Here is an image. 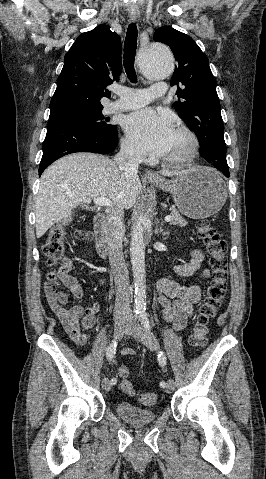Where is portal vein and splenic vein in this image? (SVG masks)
Instances as JSON below:
<instances>
[{
	"instance_id": "portal-vein-and-splenic-vein-1",
	"label": "portal vein and splenic vein",
	"mask_w": 266,
	"mask_h": 479,
	"mask_svg": "<svg viewBox=\"0 0 266 479\" xmlns=\"http://www.w3.org/2000/svg\"><path fill=\"white\" fill-rule=\"evenodd\" d=\"M93 202L98 206H112V202L106 197H97L93 199ZM172 217L170 215L165 217V221H171Z\"/></svg>"
}]
</instances>
